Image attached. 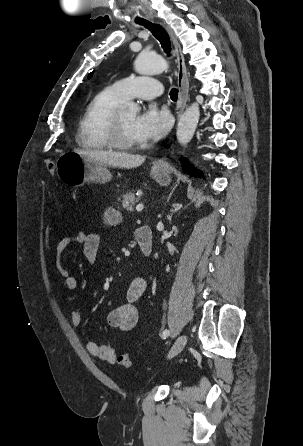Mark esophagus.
Returning a JSON list of instances; mask_svg holds the SVG:
<instances>
[{
	"label": "esophagus",
	"mask_w": 303,
	"mask_h": 446,
	"mask_svg": "<svg viewBox=\"0 0 303 446\" xmlns=\"http://www.w3.org/2000/svg\"><path fill=\"white\" fill-rule=\"evenodd\" d=\"M161 24L166 29V31L168 32V34L171 38V41L175 48L176 57H177V59H176V62H177L176 78H177V85L179 88L177 118H179L182 115V113L186 107L188 93H189V81H188V77H187L185 59H184V55L182 53L181 45H180L178 39L176 38V36L174 35L173 31L171 30V28L163 23H161ZM166 163H167V158L165 156V157L158 159L155 162V165L159 166V167H164V166H166Z\"/></svg>",
	"instance_id": "obj_1"
}]
</instances>
